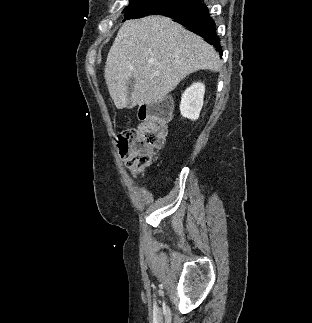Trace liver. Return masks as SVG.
I'll return each mask as SVG.
<instances>
[{"label":"liver","mask_w":312,"mask_h":323,"mask_svg":"<svg viewBox=\"0 0 312 323\" xmlns=\"http://www.w3.org/2000/svg\"><path fill=\"white\" fill-rule=\"evenodd\" d=\"M213 46L165 16H147L122 24L109 50L104 78L118 110L158 104L185 76L198 70L220 72ZM135 78L131 98L127 84Z\"/></svg>","instance_id":"liver-1"}]
</instances>
